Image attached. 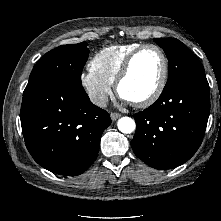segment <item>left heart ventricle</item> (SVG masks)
I'll return each instance as SVG.
<instances>
[{"mask_svg": "<svg viewBox=\"0 0 221 221\" xmlns=\"http://www.w3.org/2000/svg\"><path fill=\"white\" fill-rule=\"evenodd\" d=\"M161 72L160 54L152 48L142 51L136 57L130 74L121 85L122 96L131 102L146 98L156 88Z\"/></svg>", "mask_w": 221, "mask_h": 221, "instance_id": "left-heart-ventricle-1", "label": "left heart ventricle"}]
</instances>
